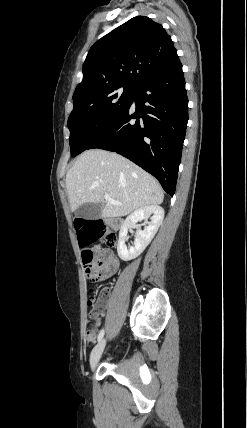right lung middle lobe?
<instances>
[{
	"label": "right lung middle lobe",
	"mask_w": 247,
	"mask_h": 428,
	"mask_svg": "<svg viewBox=\"0 0 247 428\" xmlns=\"http://www.w3.org/2000/svg\"><path fill=\"white\" fill-rule=\"evenodd\" d=\"M134 92L131 87L115 86L73 98L74 108L68 119L71 156L88 149L124 112Z\"/></svg>",
	"instance_id": "dd1d6c3e"
}]
</instances>
